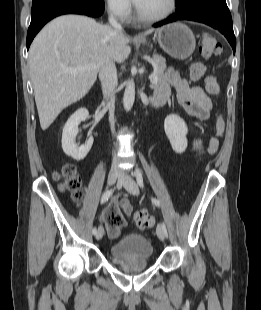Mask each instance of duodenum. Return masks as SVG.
<instances>
[{
	"instance_id": "duodenum-1",
	"label": "duodenum",
	"mask_w": 261,
	"mask_h": 310,
	"mask_svg": "<svg viewBox=\"0 0 261 310\" xmlns=\"http://www.w3.org/2000/svg\"><path fill=\"white\" fill-rule=\"evenodd\" d=\"M163 103H164V100L159 99V98H154V100H153V104H154L155 106H160V105H162Z\"/></svg>"
}]
</instances>
